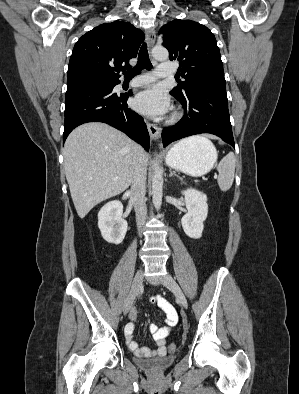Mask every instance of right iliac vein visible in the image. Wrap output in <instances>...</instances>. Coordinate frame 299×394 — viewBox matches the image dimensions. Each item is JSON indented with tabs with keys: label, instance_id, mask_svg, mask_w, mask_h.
Listing matches in <instances>:
<instances>
[{
	"label": "right iliac vein",
	"instance_id": "obj_1",
	"mask_svg": "<svg viewBox=\"0 0 299 394\" xmlns=\"http://www.w3.org/2000/svg\"><path fill=\"white\" fill-rule=\"evenodd\" d=\"M142 281H143V268H140L136 272L135 277L133 279L131 290H130V293H129L128 298L126 300V303H125L124 314H127L130 311V309H131V307H132V305H133V303L140 291Z\"/></svg>",
	"mask_w": 299,
	"mask_h": 394
}]
</instances>
